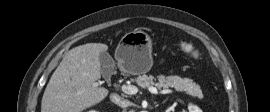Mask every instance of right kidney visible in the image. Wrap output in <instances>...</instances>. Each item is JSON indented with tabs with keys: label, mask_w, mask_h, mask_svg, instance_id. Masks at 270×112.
I'll use <instances>...</instances> for the list:
<instances>
[{
	"label": "right kidney",
	"mask_w": 270,
	"mask_h": 112,
	"mask_svg": "<svg viewBox=\"0 0 270 112\" xmlns=\"http://www.w3.org/2000/svg\"><path fill=\"white\" fill-rule=\"evenodd\" d=\"M88 112H98V111H95V110H90V111H88Z\"/></svg>",
	"instance_id": "1"
}]
</instances>
